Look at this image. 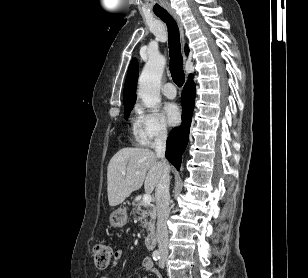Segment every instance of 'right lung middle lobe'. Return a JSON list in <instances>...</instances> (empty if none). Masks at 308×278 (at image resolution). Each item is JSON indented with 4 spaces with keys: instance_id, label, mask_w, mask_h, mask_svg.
<instances>
[{
    "instance_id": "1",
    "label": "right lung middle lobe",
    "mask_w": 308,
    "mask_h": 278,
    "mask_svg": "<svg viewBox=\"0 0 308 278\" xmlns=\"http://www.w3.org/2000/svg\"><path fill=\"white\" fill-rule=\"evenodd\" d=\"M124 106H125L124 117L127 118V116L129 115L130 111L133 108V104H127V105H124Z\"/></svg>"
}]
</instances>
